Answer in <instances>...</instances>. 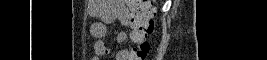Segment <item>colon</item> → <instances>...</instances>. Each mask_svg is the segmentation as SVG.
I'll use <instances>...</instances> for the list:
<instances>
[{
	"mask_svg": "<svg viewBox=\"0 0 267 60\" xmlns=\"http://www.w3.org/2000/svg\"><path fill=\"white\" fill-rule=\"evenodd\" d=\"M132 16L133 29L137 33L133 60H144L150 50L149 37L155 30L156 8L152 0H126Z\"/></svg>",
	"mask_w": 267,
	"mask_h": 60,
	"instance_id": "1",
	"label": "colon"
}]
</instances>
